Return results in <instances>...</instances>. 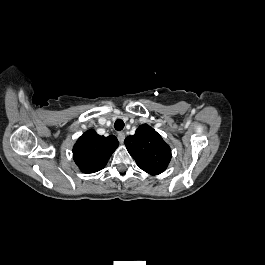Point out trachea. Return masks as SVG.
Returning <instances> with one entry per match:
<instances>
[{"mask_svg":"<svg viewBox=\"0 0 265 265\" xmlns=\"http://www.w3.org/2000/svg\"><path fill=\"white\" fill-rule=\"evenodd\" d=\"M114 128L117 130V131H120L124 128V122L121 120V119H118L115 121V124H114Z\"/></svg>","mask_w":265,"mask_h":265,"instance_id":"3493384b","label":"trachea"}]
</instances>
